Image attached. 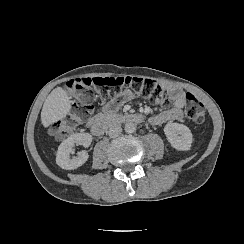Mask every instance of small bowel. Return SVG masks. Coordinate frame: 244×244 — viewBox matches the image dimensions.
<instances>
[{"mask_svg": "<svg viewBox=\"0 0 244 244\" xmlns=\"http://www.w3.org/2000/svg\"><path fill=\"white\" fill-rule=\"evenodd\" d=\"M162 87L166 92L168 101H170L172 105L170 108L165 109L160 113L150 117L149 122L152 125H162L167 122L180 121L182 120L184 115V107L186 105L187 100L186 93L183 91V89L180 86L172 83H164ZM132 98V91L129 89H125L119 96L113 98L107 106L109 108H119L125 103L132 100ZM156 102L161 103V101L158 100ZM101 119V115L97 114L96 116L89 119L87 124L91 126L92 124L98 122Z\"/></svg>", "mask_w": 244, "mask_h": 244, "instance_id": "c3829d8e", "label": "small bowel"}]
</instances>
